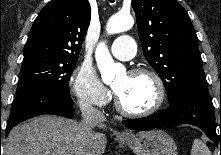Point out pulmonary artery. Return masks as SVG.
<instances>
[{"instance_id": "1", "label": "pulmonary artery", "mask_w": 221, "mask_h": 155, "mask_svg": "<svg viewBox=\"0 0 221 155\" xmlns=\"http://www.w3.org/2000/svg\"><path fill=\"white\" fill-rule=\"evenodd\" d=\"M135 42L128 35H121L115 39L111 46L112 55L120 60H129L135 55Z\"/></svg>"}]
</instances>
